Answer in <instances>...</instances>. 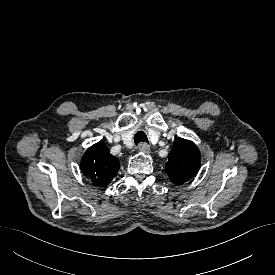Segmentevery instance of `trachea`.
<instances>
[{
	"label": "trachea",
	"instance_id": "trachea-1",
	"mask_svg": "<svg viewBox=\"0 0 275 275\" xmlns=\"http://www.w3.org/2000/svg\"><path fill=\"white\" fill-rule=\"evenodd\" d=\"M140 142H147L148 143L147 136L143 131H139L134 135L135 145H138Z\"/></svg>",
	"mask_w": 275,
	"mask_h": 275
}]
</instances>
